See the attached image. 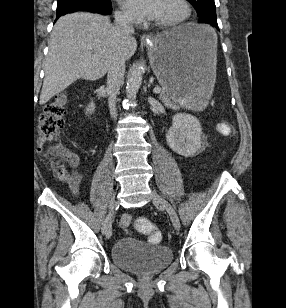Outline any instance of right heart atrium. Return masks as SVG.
<instances>
[{"label": "right heart atrium", "instance_id": "right-heart-atrium-1", "mask_svg": "<svg viewBox=\"0 0 286 308\" xmlns=\"http://www.w3.org/2000/svg\"><path fill=\"white\" fill-rule=\"evenodd\" d=\"M116 19L122 23L136 24L138 20L124 10L117 11Z\"/></svg>", "mask_w": 286, "mask_h": 308}]
</instances>
